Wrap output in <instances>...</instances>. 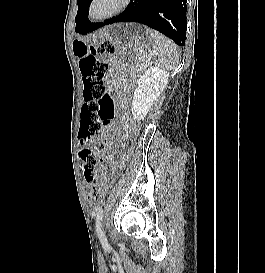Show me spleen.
Segmentation results:
<instances>
[{
  "label": "spleen",
  "instance_id": "obj_1",
  "mask_svg": "<svg viewBox=\"0 0 265 273\" xmlns=\"http://www.w3.org/2000/svg\"><path fill=\"white\" fill-rule=\"evenodd\" d=\"M146 35L155 54L158 66L164 69H174L179 64V54L175 44L161 33L145 28Z\"/></svg>",
  "mask_w": 265,
  "mask_h": 273
}]
</instances>
